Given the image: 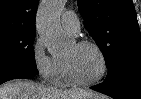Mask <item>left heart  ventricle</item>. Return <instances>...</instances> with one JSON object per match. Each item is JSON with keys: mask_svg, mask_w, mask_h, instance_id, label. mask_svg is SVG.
Returning a JSON list of instances; mask_svg holds the SVG:
<instances>
[{"mask_svg": "<svg viewBox=\"0 0 141 99\" xmlns=\"http://www.w3.org/2000/svg\"><path fill=\"white\" fill-rule=\"evenodd\" d=\"M65 59L69 60L81 80L90 81L97 78L102 71V63L98 53L91 47L73 45Z\"/></svg>", "mask_w": 141, "mask_h": 99, "instance_id": "obj_1", "label": "left heart ventricle"}]
</instances>
